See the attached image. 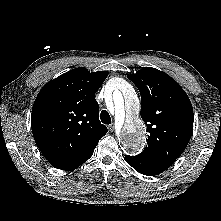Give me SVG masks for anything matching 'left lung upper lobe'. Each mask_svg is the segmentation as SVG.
<instances>
[{
  "label": "left lung upper lobe",
  "mask_w": 221,
  "mask_h": 221,
  "mask_svg": "<svg viewBox=\"0 0 221 221\" xmlns=\"http://www.w3.org/2000/svg\"><path fill=\"white\" fill-rule=\"evenodd\" d=\"M141 94V117L149 132L141 156L171 165L187 147L193 130V108L181 88L166 73L144 68L128 75Z\"/></svg>",
  "instance_id": "5c2ea615"
}]
</instances>
